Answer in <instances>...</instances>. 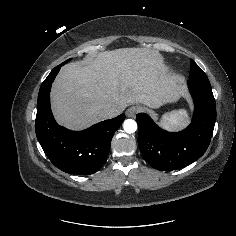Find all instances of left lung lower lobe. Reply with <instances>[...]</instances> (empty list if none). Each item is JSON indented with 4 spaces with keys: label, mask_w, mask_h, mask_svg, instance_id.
Instances as JSON below:
<instances>
[{
    "label": "left lung lower lobe",
    "mask_w": 236,
    "mask_h": 236,
    "mask_svg": "<svg viewBox=\"0 0 236 236\" xmlns=\"http://www.w3.org/2000/svg\"><path fill=\"white\" fill-rule=\"evenodd\" d=\"M195 111L191 124L180 132H167L145 113L136 115L138 146L142 157L155 169L169 171L185 167L207 150L216 121V104L208 78L187 82Z\"/></svg>",
    "instance_id": "0a47b994"
}]
</instances>
